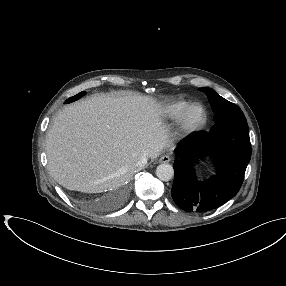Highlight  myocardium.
Returning <instances> with one entry per match:
<instances>
[{
  "mask_svg": "<svg viewBox=\"0 0 286 286\" xmlns=\"http://www.w3.org/2000/svg\"><path fill=\"white\" fill-rule=\"evenodd\" d=\"M200 108L202 110V118L199 122H193L191 120V113L194 109ZM208 112L206 107L201 103H192L185 110L184 114L179 120V132L184 135H192L201 131L207 124Z\"/></svg>",
  "mask_w": 286,
  "mask_h": 286,
  "instance_id": "obj_1",
  "label": "myocardium"
}]
</instances>
